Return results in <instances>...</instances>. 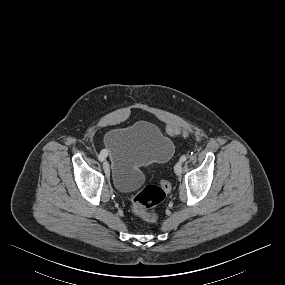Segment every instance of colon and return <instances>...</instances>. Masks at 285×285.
<instances>
[{"label": "colon", "mask_w": 285, "mask_h": 285, "mask_svg": "<svg viewBox=\"0 0 285 285\" xmlns=\"http://www.w3.org/2000/svg\"><path fill=\"white\" fill-rule=\"evenodd\" d=\"M166 133L170 137L188 136L189 134L187 130L174 125H168ZM170 189L171 184L168 181H163L160 186L147 185L143 187L132 197L134 212L143 222L155 223L158 216L152 209L164 200L166 193Z\"/></svg>", "instance_id": "obj_1"}]
</instances>
